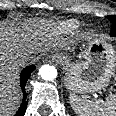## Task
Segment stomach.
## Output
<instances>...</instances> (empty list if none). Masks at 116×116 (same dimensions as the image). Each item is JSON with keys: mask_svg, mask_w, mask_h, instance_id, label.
Returning a JSON list of instances; mask_svg holds the SVG:
<instances>
[{"mask_svg": "<svg viewBox=\"0 0 116 116\" xmlns=\"http://www.w3.org/2000/svg\"><path fill=\"white\" fill-rule=\"evenodd\" d=\"M81 61L73 62L64 56L66 68L65 83L74 92H95L103 89L110 81L116 66L113 47L102 41L94 40L81 52Z\"/></svg>", "mask_w": 116, "mask_h": 116, "instance_id": "0dacf381", "label": "stomach"}]
</instances>
